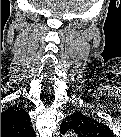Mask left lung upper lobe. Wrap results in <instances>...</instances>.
I'll return each mask as SVG.
<instances>
[{"label": "left lung upper lobe", "mask_w": 121, "mask_h": 137, "mask_svg": "<svg viewBox=\"0 0 121 137\" xmlns=\"http://www.w3.org/2000/svg\"><path fill=\"white\" fill-rule=\"evenodd\" d=\"M60 131L64 134L67 131H75L78 134L88 136L108 137L112 135L111 130L97 120L84 115L82 112L73 113L69 117V122H63Z\"/></svg>", "instance_id": "obj_1"}]
</instances>
